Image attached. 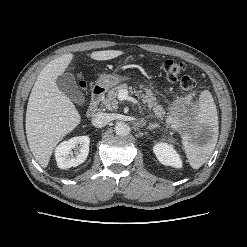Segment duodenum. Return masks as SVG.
Wrapping results in <instances>:
<instances>
[{
	"label": "duodenum",
	"mask_w": 247,
	"mask_h": 247,
	"mask_svg": "<svg viewBox=\"0 0 247 247\" xmlns=\"http://www.w3.org/2000/svg\"><path fill=\"white\" fill-rule=\"evenodd\" d=\"M105 93V89L103 86L101 85H94L92 88V92H91V99H90V103L87 109V116L91 117L93 116L97 110H98V106H99V102L101 100V98L103 97Z\"/></svg>",
	"instance_id": "1"
}]
</instances>
